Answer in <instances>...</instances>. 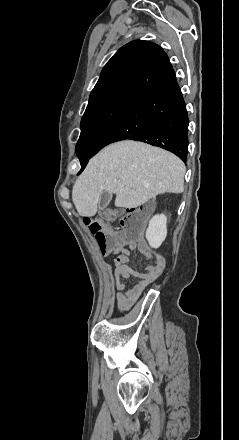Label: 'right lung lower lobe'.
I'll use <instances>...</instances> for the list:
<instances>
[{"instance_id":"right-lung-lower-lobe-1","label":"right lung lower lobe","mask_w":239,"mask_h":440,"mask_svg":"<svg viewBox=\"0 0 239 440\" xmlns=\"http://www.w3.org/2000/svg\"><path fill=\"white\" fill-rule=\"evenodd\" d=\"M188 123L185 102L174 70H171L155 86L127 104L90 153L78 154L81 171L88 160L104 146L124 139L161 147L185 162L188 153Z\"/></svg>"}]
</instances>
